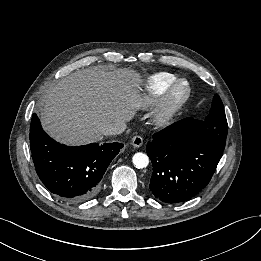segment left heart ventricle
I'll use <instances>...</instances> for the list:
<instances>
[{
  "instance_id": "b2bd125f",
  "label": "left heart ventricle",
  "mask_w": 261,
  "mask_h": 261,
  "mask_svg": "<svg viewBox=\"0 0 261 261\" xmlns=\"http://www.w3.org/2000/svg\"><path fill=\"white\" fill-rule=\"evenodd\" d=\"M183 89H184V87H181L179 92L181 93L183 91Z\"/></svg>"
}]
</instances>
